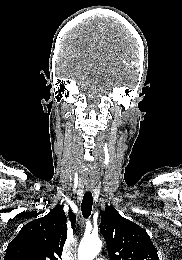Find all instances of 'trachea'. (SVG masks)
Returning a JSON list of instances; mask_svg holds the SVG:
<instances>
[{
  "mask_svg": "<svg viewBox=\"0 0 182 260\" xmlns=\"http://www.w3.org/2000/svg\"><path fill=\"white\" fill-rule=\"evenodd\" d=\"M93 197L91 192H85L81 204V211L84 218H88L92 211Z\"/></svg>",
  "mask_w": 182,
  "mask_h": 260,
  "instance_id": "3493384b",
  "label": "trachea"
}]
</instances>
